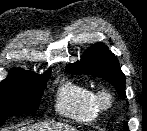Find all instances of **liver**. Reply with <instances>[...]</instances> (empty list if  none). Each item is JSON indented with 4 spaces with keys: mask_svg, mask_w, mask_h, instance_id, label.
I'll return each mask as SVG.
<instances>
[{
    "mask_svg": "<svg viewBox=\"0 0 147 131\" xmlns=\"http://www.w3.org/2000/svg\"><path fill=\"white\" fill-rule=\"evenodd\" d=\"M18 131H77L74 126L61 122H40L21 127Z\"/></svg>",
    "mask_w": 147,
    "mask_h": 131,
    "instance_id": "obj_1",
    "label": "liver"
}]
</instances>
